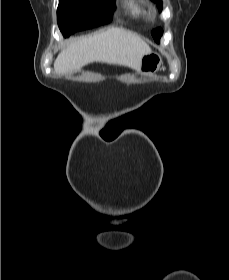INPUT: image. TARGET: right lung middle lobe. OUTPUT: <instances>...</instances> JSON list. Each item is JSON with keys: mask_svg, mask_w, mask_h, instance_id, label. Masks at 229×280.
<instances>
[{"mask_svg": "<svg viewBox=\"0 0 229 280\" xmlns=\"http://www.w3.org/2000/svg\"><path fill=\"white\" fill-rule=\"evenodd\" d=\"M114 8L115 0H59L58 26L68 37L75 31L111 22Z\"/></svg>", "mask_w": 229, "mask_h": 280, "instance_id": "1", "label": "right lung middle lobe"}]
</instances>
